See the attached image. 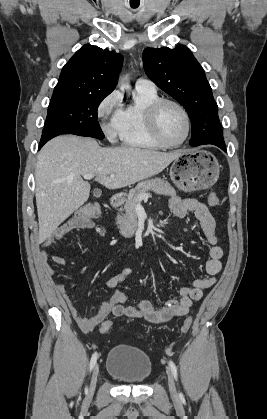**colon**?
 I'll list each match as a JSON object with an SVG mask.
<instances>
[{
    "label": "colon",
    "mask_w": 267,
    "mask_h": 419,
    "mask_svg": "<svg viewBox=\"0 0 267 419\" xmlns=\"http://www.w3.org/2000/svg\"><path fill=\"white\" fill-rule=\"evenodd\" d=\"M208 204L211 207H216L220 204V199L216 194H210L208 197ZM101 216V208L97 204H87L80 207L73 215L72 219L75 221L92 220ZM192 325V318L188 317L184 320L181 326V333L187 332ZM112 327V322L109 320L101 324L100 332L107 334Z\"/></svg>",
    "instance_id": "obj_1"
}]
</instances>
